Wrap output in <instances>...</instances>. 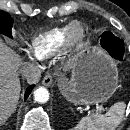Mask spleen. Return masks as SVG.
Wrapping results in <instances>:
<instances>
[{
    "mask_svg": "<svg viewBox=\"0 0 130 130\" xmlns=\"http://www.w3.org/2000/svg\"><path fill=\"white\" fill-rule=\"evenodd\" d=\"M126 104L115 103L105 114H94L83 117L71 130H114L121 122Z\"/></svg>",
    "mask_w": 130,
    "mask_h": 130,
    "instance_id": "obj_1",
    "label": "spleen"
}]
</instances>
